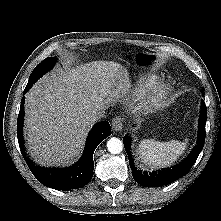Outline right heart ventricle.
Masks as SVG:
<instances>
[{
  "instance_id": "e07e8e85",
  "label": "right heart ventricle",
  "mask_w": 221,
  "mask_h": 221,
  "mask_svg": "<svg viewBox=\"0 0 221 221\" xmlns=\"http://www.w3.org/2000/svg\"><path fill=\"white\" fill-rule=\"evenodd\" d=\"M154 79H155V77H151V78L149 79V82L153 81Z\"/></svg>"
}]
</instances>
